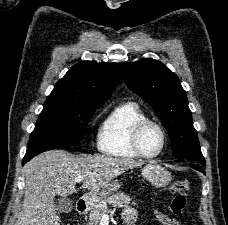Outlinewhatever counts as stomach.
<instances>
[{
	"mask_svg": "<svg viewBox=\"0 0 228 225\" xmlns=\"http://www.w3.org/2000/svg\"><path fill=\"white\" fill-rule=\"evenodd\" d=\"M141 173L144 179L149 181L154 187H166L171 181V173L166 171L161 165H157V163L145 165V167L141 169ZM120 187L119 181H112V183H109V185H106L103 189H98L95 193H88L86 203H88V205H97L102 199H106V197H110L112 193L119 191Z\"/></svg>",
	"mask_w": 228,
	"mask_h": 225,
	"instance_id": "obj_1",
	"label": "stomach"
}]
</instances>
